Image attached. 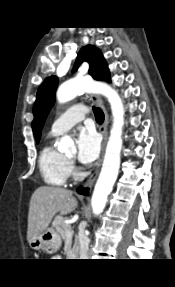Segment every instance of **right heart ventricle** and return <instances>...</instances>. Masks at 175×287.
<instances>
[{
  "mask_svg": "<svg viewBox=\"0 0 175 287\" xmlns=\"http://www.w3.org/2000/svg\"><path fill=\"white\" fill-rule=\"evenodd\" d=\"M50 133L48 140L43 145L38 159L39 170L45 183L54 186L66 184L70 175L67 158L53 146V137Z\"/></svg>",
  "mask_w": 175,
  "mask_h": 287,
  "instance_id": "obj_1",
  "label": "right heart ventricle"
}]
</instances>
